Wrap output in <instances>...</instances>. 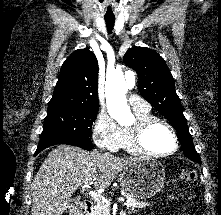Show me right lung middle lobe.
Returning <instances> with one entry per match:
<instances>
[{
  "instance_id": "1",
  "label": "right lung middle lobe",
  "mask_w": 221,
  "mask_h": 215,
  "mask_svg": "<svg viewBox=\"0 0 221 215\" xmlns=\"http://www.w3.org/2000/svg\"><path fill=\"white\" fill-rule=\"evenodd\" d=\"M98 110L70 109L48 113L40 143L90 137Z\"/></svg>"
}]
</instances>
